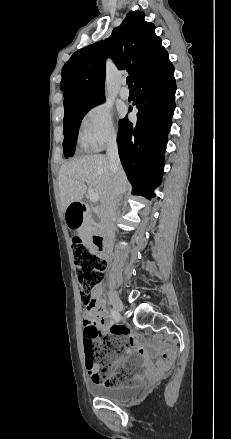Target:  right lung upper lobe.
Here are the masks:
<instances>
[{"label": "right lung upper lobe", "mask_w": 231, "mask_h": 439, "mask_svg": "<svg viewBox=\"0 0 231 439\" xmlns=\"http://www.w3.org/2000/svg\"><path fill=\"white\" fill-rule=\"evenodd\" d=\"M142 11H132L111 36L75 52L62 69L64 109L104 97L105 59L126 69L135 82L156 68L168 53L155 34V25L144 20Z\"/></svg>", "instance_id": "cb5924a9"}]
</instances>
